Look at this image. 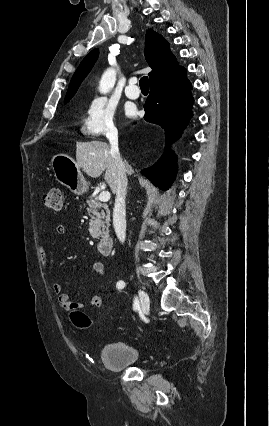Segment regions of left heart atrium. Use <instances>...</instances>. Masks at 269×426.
I'll return each mask as SVG.
<instances>
[{"mask_svg":"<svg viewBox=\"0 0 269 426\" xmlns=\"http://www.w3.org/2000/svg\"><path fill=\"white\" fill-rule=\"evenodd\" d=\"M126 113L127 115L132 116L135 113V109L133 107H127Z\"/></svg>","mask_w":269,"mask_h":426,"instance_id":"obj_1","label":"left heart atrium"}]
</instances>
